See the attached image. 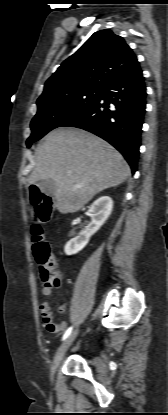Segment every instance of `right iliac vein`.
<instances>
[{"label": "right iliac vein", "mask_w": 168, "mask_h": 415, "mask_svg": "<svg viewBox=\"0 0 168 415\" xmlns=\"http://www.w3.org/2000/svg\"><path fill=\"white\" fill-rule=\"evenodd\" d=\"M78 334V330H75L74 332H72L67 338L66 340L61 344V346L58 348L52 365H51V375H54L61 360L63 359L65 353L67 352L68 348L71 346V344L73 343V341L75 340L76 336Z\"/></svg>", "instance_id": "right-iliac-vein-1"}]
</instances>
